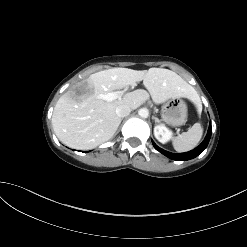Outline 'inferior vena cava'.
<instances>
[{"label":"inferior vena cava","mask_w":247,"mask_h":247,"mask_svg":"<svg viewBox=\"0 0 247 247\" xmlns=\"http://www.w3.org/2000/svg\"><path fill=\"white\" fill-rule=\"evenodd\" d=\"M130 112H131V108L126 104L119 105L116 108V115L120 118L128 116Z\"/></svg>","instance_id":"602c4592"}]
</instances>
